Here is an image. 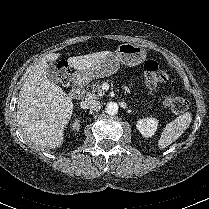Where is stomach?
Instances as JSON below:
<instances>
[{"label":"stomach","mask_w":209,"mask_h":209,"mask_svg":"<svg viewBox=\"0 0 209 209\" xmlns=\"http://www.w3.org/2000/svg\"><path fill=\"white\" fill-rule=\"evenodd\" d=\"M146 58V49L139 44L125 43L118 46L115 53H111L100 59L92 68L79 72V79L90 81L115 73L120 63L127 66H136Z\"/></svg>","instance_id":"stomach-1"}]
</instances>
